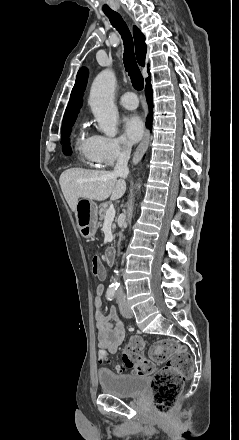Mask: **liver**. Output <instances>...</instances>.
<instances>
[{
  "label": "liver",
  "mask_w": 239,
  "mask_h": 440,
  "mask_svg": "<svg viewBox=\"0 0 239 440\" xmlns=\"http://www.w3.org/2000/svg\"><path fill=\"white\" fill-rule=\"evenodd\" d=\"M114 172L103 170H83L70 168L65 170L59 178L63 196L72 212H76L79 198L103 202L110 196V200H119L126 192L125 180H117Z\"/></svg>",
  "instance_id": "1"
}]
</instances>
